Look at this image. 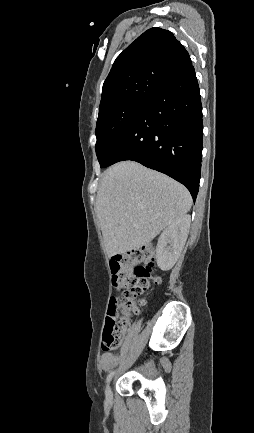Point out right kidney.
I'll list each match as a JSON object with an SVG mask.
<instances>
[{
    "instance_id": "obj_1",
    "label": "right kidney",
    "mask_w": 254,
    "mask_h": 433,
    "mask_svg": "<svg viewBox=\"0 0 254 433\" xmlns=\"http://www.w3.org/2000/svg\"><path fill=\"white\" fill-rule=\"evenodd\" d=\"M190 222L189 215H182L161 233L156 247V262L161 270H170L178 260L189 233Z\"/></svg>"
}]
</instances>
